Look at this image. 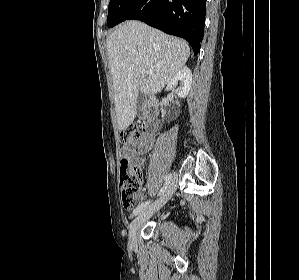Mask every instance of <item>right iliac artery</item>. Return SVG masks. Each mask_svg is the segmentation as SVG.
<instances>
[{
  "mask_svg": "<svg viewBox=\"0 0 299 280\" xmlns=\"http://www.w3.org/2000/svg\"><path fill=\"white\" fill-rule=\"evenodd\" d=\"M171 180H172V174L171 173H169L167 176H166V178H165V183H164V186L160 189V191H159V195H162L165 191H166V189H167V187H168V185L170 184V182H171ZM149 204V201H147V202H143V203H141L140 205H138L135 209H134V211H133V216H136L139 212H141L147 205Z\"/></svg>",
  "mask_w": 299,
  "mask_h": 280,
  "instance_id": "right-iliac-artery-1",
  "label": "right iliac artery"
}]
</instances>
